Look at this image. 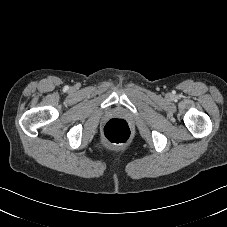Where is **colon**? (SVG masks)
<instances>
[{"instance_id":"5ec220e1","label":"colon","mask_w":227,"mask_h":227,"mask_svg":"<svg viewBox=\"0 0 227 227\" xmlns=\"http://www.w3.org/2000/svg\"><path fill=\"white\" fill-rule=\"evenodd\" d=\"M103 137L111 143H124L131 137L128 123L122 119H111L103 128Z\"/></svg>"}]
</instances>
